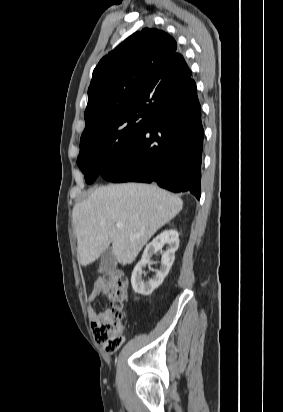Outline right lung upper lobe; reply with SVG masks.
Here are the masks:
<instances>
[{"instance_id": "cb5924a9", "label": "right lung upper lobe", "mask_w": 283, "mask_h": 412, "mask_svg": "<svg viewBox=\"0 0 283 412\" xmlns=\"http://www.w3.org/2000/svg\"><path fill=\"white\" fill-rule=\"evenodd\" d=\"M189 78L191 71L169 34L149 28L134 33L94 69L81 137L136 104L163 102Z\"/></svg>"}]
</instances>
